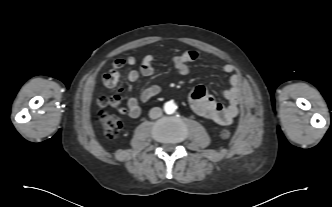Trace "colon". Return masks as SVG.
<instances>
[{
    "label": "colon",
    "mask_w": 332,
    "mask_h": 207,
    "mask_svg": "<svg viewBox=\"0 0 332 207\" xmlns=\"http://www.w3.org/2000/svg\"><path fill=\"white\" fill-rule=\"evenodd\" d=\"M116 67L120 66L119 62L115 63ZM99 106V119L102 122L104 134L109 139H115L119 136L123 124L121 120L114 114L107 111V107L111 106L113 108H118L121 102V98L119 95H114L112 97H108L106 95L99 96L98 100ZM221 137L224 139H228L231 137V131L229 129H223L221 131Z\"/></svg>",
    "instance_id": "colon-1"
}]
</instances>
